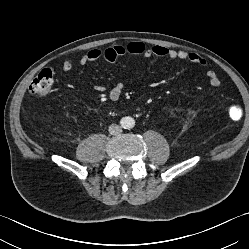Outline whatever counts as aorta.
<instances>
[{
  "label": "aorta",
  "mask_w": 249,
  "mask_h": 249,
  "mask_svg": "<svg viewBox=\"0 0 249 249\" xmlns=\"http://www.w3.org/2000/svg\"><path fill=\"white\" fill-rule=\"evenodd\" d=\"M123 128L125 129H131L135 125V120L132 117H124L121 121Z\"/></svg>",
  "instance_id": "aorta-1"
}]
</instances>
